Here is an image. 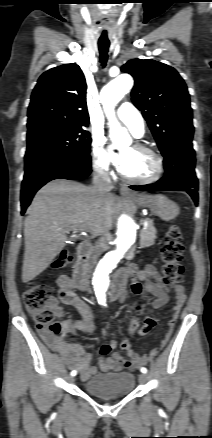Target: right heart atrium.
Returning <instances> with one entry per match:
<instances>
[{
	"label": "right heart atrium",
	"instance_id": "d8ad5b80",
	"mask_svg": "<svg viewBox=\"0 0 212 438\" xmlns=\"http://www.w3.org/2000/svg\"><path fill=\"white\" fill-rule=\"evenodd\" d=\"M91 162L93 170L100 176H108L111 172V157L103 145V141L94 138L91 143Z\"/></svg>",
	"mask_w": 212,
	"mask_h": 438
}]
</instances>
